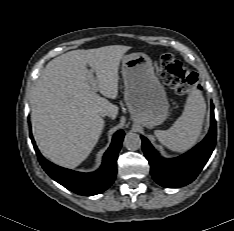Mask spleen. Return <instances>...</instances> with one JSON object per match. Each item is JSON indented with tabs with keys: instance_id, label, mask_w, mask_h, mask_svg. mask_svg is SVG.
<instances>
[{
	"instance_id": "1",
	"label": "spleen",
	"mask_w": 234,
	"mask_h": 231,
	"mask_svg": "<svg viewBox=\"0 0 234 231\" xmlns=\"http://www.w3.org/2000/svg\"><path fill=\"white\" fill-rule=\"evenodd\" d=\"M206 104L200 91L194 90L187 97L182 115L168 130L154 132L168 149L185 152L192 148L201 134Z\"/></svg>"
}]
</instances>
